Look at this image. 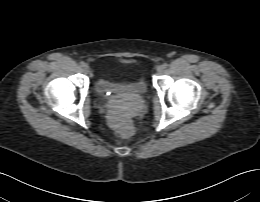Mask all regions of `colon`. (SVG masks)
<instances>
[{"label": "colon", "instance_id": "5ec220e1", "mask_svg": "<svg viewBox=\"0 0 260 202\" xmlns=\"http://www.w3.org/2000/svg\"><path fill=\"white\" fill-rule=\"evenodd\" d=\"M110 123L115 128L117 133L123 137H128L129 132L127 130L126 117L119 112L110 114Z\"/></svg>", "mask_w": 260, "mask_h": 202}]
</instances>
